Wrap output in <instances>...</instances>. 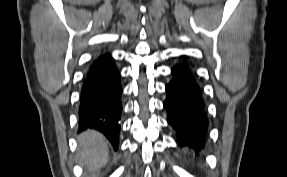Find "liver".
<instances>
[{
	"mask_svg": "<svg viewBox=\"0 0 287 177\" xmlns=\"http://www.w3.org/2000/svg\"><path fill=\"white\" fill-rule=\"evenodd\" d=\"M78 142L79 162L94 177L109 160L107 141L99 132L87 130L80 136Z\"/></svg>",
	"mask_w": 287,
	"mask_h": 177,
	"instance_id": "obj_1",
	"label": "liver"
}]
</instances>
